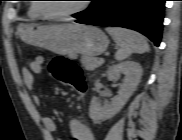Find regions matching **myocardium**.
Segmentation results:
<instances>
[{"instance_id":"f54148a6","label":"myocardium","mask_w":182,"mask_h":140,"mask_svg":"<svg viewBox=\"0 0 182 140\" xmlns=\"http://www.w3.org/2000/svg\"><path fill=\"white\" fill-rule=\"evenodd\" d=\"M87 7H88L87 2H84L77 9H74V10L68 11V12H63V13H46L45 11L42 10L40 4H36L34 8H35V11L38 14V16L45 18V19L58 20V19H63V18L71 17V16L77 15L79 13H82L83 11H85L87 9Z\"/></svg>"}]
</instances>
